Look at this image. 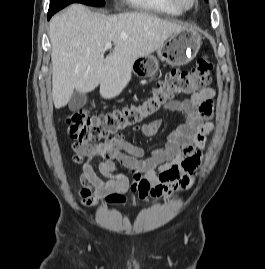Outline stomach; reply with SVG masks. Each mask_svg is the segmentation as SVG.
<instances>
[{
    "mask_svg": "<svg viewBox=\"0 0 265 269\" xmlns=\"http://www.w3.org/2000/svg\"><path fill=\"white\" fill-rule=\"evenodd\" d=\"M202 44L201 35L194 29L185 28L173 33L157 49V57L148 55L137 58L132 64V71L137 77H153L159 69V60L178 67L189 63L198 53Z\"/></svg>",
    "mask_w": 265,
    "mask_h": 269,
    "instance_id": "0dacf381",
    "label": "stomach"
}]
</instances>
